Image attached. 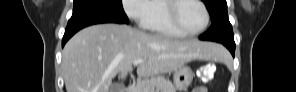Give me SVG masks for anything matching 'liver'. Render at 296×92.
<instances>
[{"label":"liver","instance_id":"liver-1","mask_svg":"<svg viewBox=\"0 0 296 92\" xmlns=\"http://www.w3.org/2000/svg\"><path fill=\"white\" fill-rule=\"evenodd\" d=\"M223 49L197 40L175 41L118 24H99L76 33L65 45L62 70L67 92H110L112 79H125L137 65L138 77L168 73L193 60H215Z\"/></svg>","mask_w":296,"mask_h":92}]
</instances>
